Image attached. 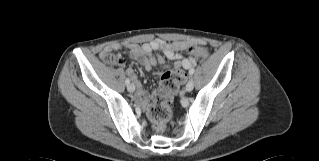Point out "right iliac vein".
Returning <instances> with one entry per match:
<instances>
[{
    "instance_id": "63e3f726",
    "label": "right iliac vein",
    "mask_w": 319,
    "mask_h": 161,
    "mask_svg": "<svg viewBox=\"0 0 319 161\" xmlns=\"http://www.w3.org/2000/svg\"><path fill=\"white\" fill-rule=\"evenodd\" d=\"M127 89H128V91H129L130 93H133V92L135 91V86H134L133 84H129V85L127 86Z\"/></svg>"
}]
</instances>
